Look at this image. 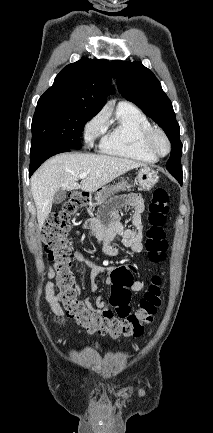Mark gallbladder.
Listing matches in <instances>:
<instances>
[{
    "instance_id": "gallbladder-1",
    "label": "gallbladder",
    "mask_w": 213,
    "mask_h": 433,
    "mask_svg": "<svg viewBox=\"0 0 213 433\" xmlns=\"http://www.w3.org/2000/svg\"><path fill=\"white\" fill-rule=\"evenodd\" d=\"M65 198H66V191L60 188L54 194L53 203L60 204L61 202H63L65 200Z\"/></svg>"
}]
</instances>
